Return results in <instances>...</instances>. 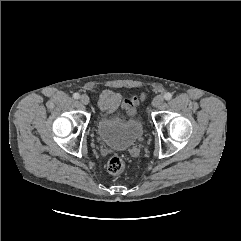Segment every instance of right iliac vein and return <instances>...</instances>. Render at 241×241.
Returning <instances> with one entry per match:
<instances>
[{"instance_id": "63e3f726", "label": "right iliac vein", "mask_w": 241, "mask_h": 241, "mask_svg": "<svg viewBox=\"0 0 241 241\" xmlns=\"http://www.w3.org/2000/svg\"><path fill=\"white\" fill-rule=\"evenodd\" d=\"M80 102L84 105H87V104H89L90 99L86 94H83L80 96Z\"/></svg>"}]
</instances>
